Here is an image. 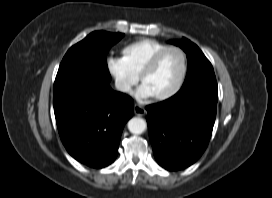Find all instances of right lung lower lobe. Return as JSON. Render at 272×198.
<instances>
[{"label":"right lung lower lobe","mask_w":272,"mask_h":198,"mask_svg":"<svg viewBox=\"0 0 272 198\" xmlns=\"http://www.w3.org/2000/svg\"><path fill=\"white\" fill-rule=\"evenodd\" d=\"M60 138L69 154L94 168L117 157L125 123L132 117V99L108 84L79 80L53 92Z\"/></svg>","instance_id":"1"}]
</instances>
